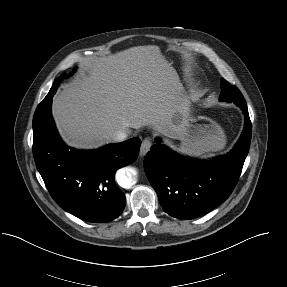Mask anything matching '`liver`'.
<instances>
[{
  "instance_id": "liver-1",
  "label": "liver",
  "mask_w": 287,
  "mask_h": 287,
  "mask_svg": "<svg viewBox=\"0 0 287 287\" xmlns=\"http://www.w3.org/2000/svg\"><path fill=\"white\" fill-rule=\"evenodd\" d=\"M188 106L178 73L148 45L85 58L80 78L54 96L52 113L69 146L92 149L144 126L178 139Z\"/></svg>"
}]
</instances>
